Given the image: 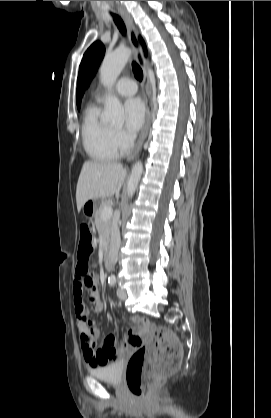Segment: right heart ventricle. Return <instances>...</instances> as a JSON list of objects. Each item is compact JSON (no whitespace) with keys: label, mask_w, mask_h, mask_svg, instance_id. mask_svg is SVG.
Here are the masks:
<instances>
[{"label":"right heart ventricle","mask_w":271,"mask_h":418,"mask_svg":"<svg viewBox=\"0 0 271 418\" xmlns=\"http://www.w3.org/2000/svg\"><path fill=\"white\" fill-rule=\"evenodd\" d=\"M113 131L101 121L98 105H92L87 109L82 125V142L85 152L91 159L105 162L118 157Z\"/></svg>","instance_id":"1"}]
</instances>
